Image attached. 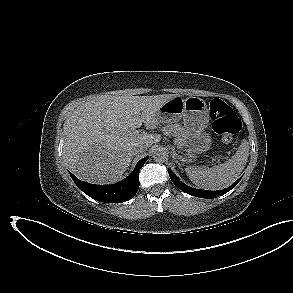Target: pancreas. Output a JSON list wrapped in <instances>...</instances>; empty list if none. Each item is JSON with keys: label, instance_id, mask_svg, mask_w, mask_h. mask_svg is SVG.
Returning <instances> with one entry per match:
<instances>
[{"label": "pancreas", "instance_id": "1", "mask_svg": "<svg viewBox=\"0 0 293 293\" xmlns=\"http://www.w3.org/2000/svg\"><path fill=\"white\" fill-rule=\"evenodd\" d=\"M164 134L168 136L175 137V144H177L178 147H181L186 144L185 140V129L178 123L167 125L163 128Z\"/></svg>", "mask_w": 293, "mask_h": 293}]
</instances>
